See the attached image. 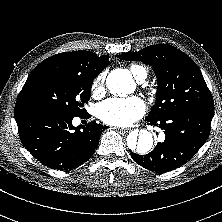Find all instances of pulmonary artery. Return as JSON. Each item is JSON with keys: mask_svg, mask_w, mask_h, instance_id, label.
Returning <instances> with one entry per match:
<instances>
[{"mask_svg": "<svg viewBox=\"0 0 222 222\" xmlns=\"http://www.w3.org/2000/svg\"><path fill=\"white\" fill-rule=\"evenodd\" d=\"M144 79H145V77H143V78L139 79V81H140V82H142Z\"/></svg>", "mask_w": 222, "mask_h": 222, "instance_id": "pulmonary-artery-1", "label": "pulmonary artery"}]
</instances>
